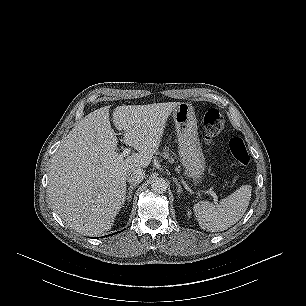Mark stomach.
I'll return each mask as SVG.
<instances>
[{"instance_id": "0dacf381", "label": "stomach", "mask_w": 306, "mask_h": 306, "mask_svg": "<svg viewBox=\"0 0 306 306\" xmlns=\"http://www.w3.org/2000/svg\"><path fill=\"white\" fill-rule=\"evenodd\" d=\"M179 143V155L188 177L195 182L202 179L205 170L204 155L198 138L197 120L194 108L180 103L173 111Z\"/></svg>"}]
</instances>
